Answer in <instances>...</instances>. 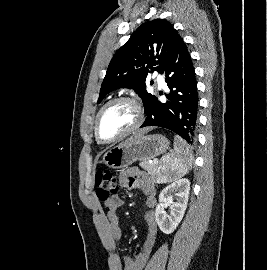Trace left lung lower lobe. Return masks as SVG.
<instances>
[{
	"instance_id": "obj_1",
	"label": "left lung lower lobe",
	"mask_w": 267,
	"mask_h": 270,
	"mask_svg": "<svg viewBox=\"0 0 267 270\" xmlns=\"http://www.w3.org/2000/svg\"><path fill=\"white\" fill-rule=\"evenodd\" d=\"M165 81L170 93L162 103L155 97L141 127L158 126L181 136L190 146L196 141L198 92L195 71L183 40L177 45L167 67Z\"/></svg>"
}]
</instances>
